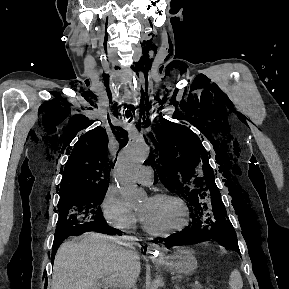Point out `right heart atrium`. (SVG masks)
I'll use <instances>...</instances> for the list:
<instances>
[{
	"mask_svg": "<svg viewBox=\"0 0 289 289\" xmlns=\"http://www.w3.org/2000/svg\"><path fill=\"white\" fill-rule=\"evenodd\" d=\"M103 217L107 224L122 232H132L138 224V216L128 208L122 197L109 189L101 203Z\"/></svg>",
	"mask_w": 289,
	"mask_h": 289,
	"instance_id": "1",
	"label": "right heart atrium"
}]
</instances>
